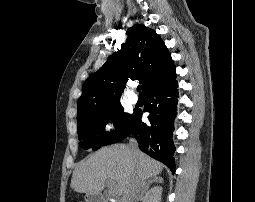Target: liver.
<instances>
[{"instance_id": "liver-1", "label": "liver", "mask_w": 255, "mask_h": 202, "mask_svg": "<svg viewBox=\"0 0 255 202\" xmlns=\"http://www.w3.org/2000/svg\"><path fill=\"white\" fill-rule=\"evenodd\" d=\"M163 165L148 155L123 144L103 147L79 163L73 171L71 188L78 193L99 194L106 181H112L116 194L123 195L135 178L151 179L161 173Z\"/></svg>"}]
</instances>
